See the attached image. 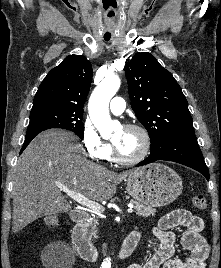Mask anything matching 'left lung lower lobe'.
I'll return each mask as SVG.
<instances>
[{
    "mask_svg": "<svg viewBox=\"0 0 221 268\" xmlns=\"http://www.w3.org/2000/svg\"><path fill=\"white\" fill-rule=\"evenodd\" d=\"M157 160L173 161L186 165L199 171L209 180V171L195 133H181L172 136L161 143L159 147L151 149L150 155L137 166H143Z\"/></svg>",
    "mask_w": 221,
    "mask_h": 268,
    "instance_id": "1",
    "label": "left lung lower lobe"
}]
</instances>
